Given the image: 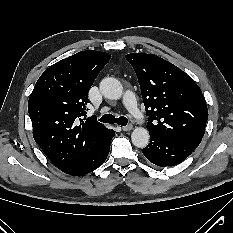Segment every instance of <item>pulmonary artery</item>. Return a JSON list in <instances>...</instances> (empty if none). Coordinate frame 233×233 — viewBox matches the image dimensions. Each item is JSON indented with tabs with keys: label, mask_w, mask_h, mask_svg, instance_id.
Returning <instances> with one entry per match:
<instances>
[{
	"label": "pulmonary artery",
	"mask_w": 233,
	"mask_h": 233,
	"mask_svg": "<svg viewBox=\"0 0 233 233\" xmlns=\"http://www.w3.org/2000/svg\"><path fill=\"white\" fill-rule=\"evenodd\" d=\"M123 102L126 108L132 113L135 118L142 116L141 110L138 106L134 93L130 90H126L123 97Z\"/></svg>",
	"instance_id": "pulmonary-artery-1"
}]
</instances>
